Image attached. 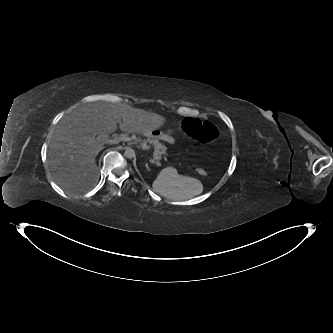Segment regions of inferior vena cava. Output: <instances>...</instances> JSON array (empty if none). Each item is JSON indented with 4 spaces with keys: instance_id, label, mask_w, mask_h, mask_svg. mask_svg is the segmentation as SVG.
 Masks as SVG:
<instances>
[{
    "instance_id": "1",
    "label": "inferior vena cava",
    "mask_w": 333,
    "mask_h": 333,
    "mask_svg": "<svg viewBox=\"0 0 333 333\" xmlns=\"http://www.w3.org/2000/svg\"><path fill=\"white\" fill-rule=\"evenodd\" d=\"M109 143H110V144H116V143H118V142H116V141H114V140H110Z\"/></svg>"
}]
</instances>
